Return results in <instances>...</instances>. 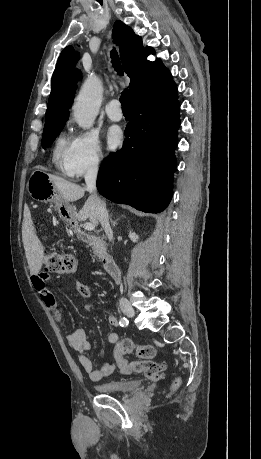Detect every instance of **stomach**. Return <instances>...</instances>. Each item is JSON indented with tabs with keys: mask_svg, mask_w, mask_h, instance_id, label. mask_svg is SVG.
Masks as SVG:
<instances>
[{
	"mask_svg": "<svg viewBox=\"0 0 261 459\" xmlns=\"http://www.w3.org/2000/svg\"><path fill=\"white\" fill-rule=\"evenodd\" d=\"M27 190L34 200L57 204L61 217L68 221V213L71 212V208L63 205V199L47 173L35 170L28 180Z\"/></svg>",
	"mask_w": 261,
	"mask_h": 459,
	"instance_id": "0dacf381",
	"label": "stomach"
}]
</instances>
